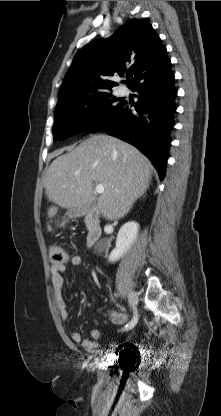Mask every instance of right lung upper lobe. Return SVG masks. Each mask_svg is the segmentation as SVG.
<instances>
[{
	"label": "right lung upper lobe",
	"mask_w": 221,
	"mask_h": 416,
	"mask_svg": "<svg viewBox=\"0 0 221 416\" xmlns=\"http://www.w3.org/2000/svg\"><path fill=\"white\" fill-rule=\"evenodd\" d=\"M171 62L150 23L133 19L113 36L85 45L75 56L61 85L58 104L111 91L113 76L130 77L129 88L153 75H164Z\"/></svg>",
	"instance_id": "obj_1"
}]
</instances>
